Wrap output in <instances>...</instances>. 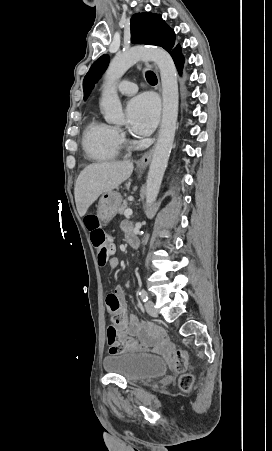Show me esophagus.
Listing matches in <instances>:
<instances>
[{"label":"esophagus","instance_id":"obj_1","mask_svg":"<svg viewBox=\"0 0 272 451\" xmlns=\"http://www.w3.org/2000/svg\"><path fill=\"white\" fill-rule=\"evenodd\" d=\"M155 70H157V68L154 65ZM160 87V84L158 83V88ZM152 158V150H149L148 152H146L138 161V165L141 169H144L151 161Z\"/></svg>","mask_w":272,"mask_h":451}]
</instances>
